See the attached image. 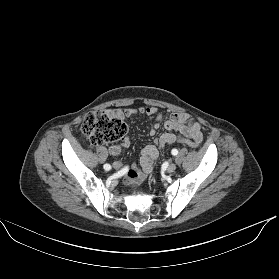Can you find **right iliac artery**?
Masks as SVG:
<instances>
[{"mask_svg":"<svg viewBox=\"0 0 279 279\" xmlns=\"http://www.w3.org/2000/svg\"><path fill=\"white\" fill-rule=\"evenodd\" d=\"M104 169L108 171V170L111 169V166H110L109 164H105V165H104Z\"/></svg>","mask_w":279,"mask_h":279,"instance_id":"right-iliac-artery-1","label":"right iliac artery"}]
</instances>
